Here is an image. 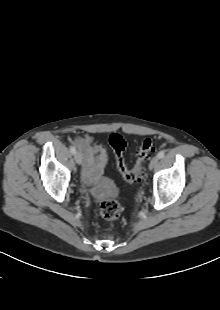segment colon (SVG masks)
I'll list each match as a JSON object with an SVG mask.
<instances>
[{
    "mask_svg": "<svg viewBox=\"0 0 220 310\" xmlns=\"http://www.w3.org/2000/svg\"><path fill=\"white\" fill-rule=\"evenodd\" d=\"M109 143L115 152L116 162L123 178L128 183H138L143 178V163L154 150V142L150 138H145L140 142L135 163L132 168L126 164L124 151L126 148L125 139L119 134H112ZM100 216L106 220H116L121 216L122 207L115 199L103 201L99 208Z\"/></svg>",
    "mask_w": 220,
    "mask_h": 310,
    "instance_id": "5ec220e1",
    "label": "colon"
}]
</instances>
